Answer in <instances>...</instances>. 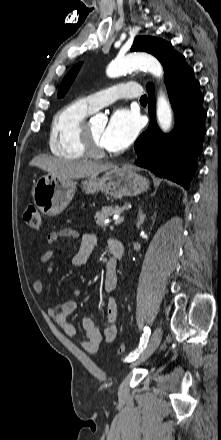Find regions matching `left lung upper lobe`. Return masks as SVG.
I'll list each match as a JSON object with an SVG mask.
<instances>
[{
    "mask_svg": "<svg viewBox=\"0 0 221 440\" xmlns=\"http://www.w3.org/2000/svg\"><path fill=\"white\" fill-rule=\"evenodd\" d=\"M130 50L151 53L162 63V65L167 56L174 51L170 43L159 38L147 36L136 37ZM80 66L81 63L75 65L64 77L57 95L59 98L63 97L70 88Z\"/></svg>",
    "mask_w": 221,
    "mask_h": 440,
    "instance_id": "1",
    "label": "left lung upper lobe"
}]
</instances>
